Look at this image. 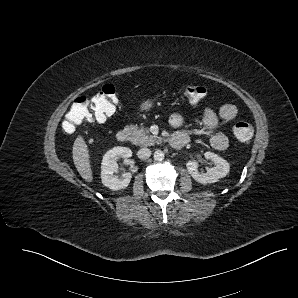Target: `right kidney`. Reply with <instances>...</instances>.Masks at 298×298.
Wrapping results in <instances>:
<instances>
[{
	"mask_svg": "<svg viewBox=\"0 0 298 298\" xmlns=\"http://www.w3.org/2000/svg\"><path fill=\"white\" fill-rule=\"evenodd\" d=\"M132 156V151L128 147L117 146L108 150L101 163V181L102 184L111 190L125 189L132 178L130 172H125L121 177L114 175L118 170V159H128Z\"/></svg>",
	"mask_w": 298,
	"mask_h": 298,
	"instance_id": "1",
	"label": "right kidney"
}]
</instances>
